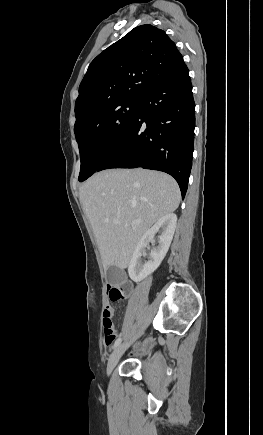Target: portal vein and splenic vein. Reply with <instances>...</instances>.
<instances>
[{"instance_id":"18ae733b","label":"portal vein and splenic vein","mask_w":263,"mask_h":435,"mask_svg":"<svg viewBox=\"0 0 263 435\" xmlns=\"http://www.w3.org/2000/svg\"><path fill=\"white\" fill-rule=\"evenodd\" d=\"M113 223H114V224H119V220H118V219H114V220H113Z\"/></svg>"}]
</instances>
